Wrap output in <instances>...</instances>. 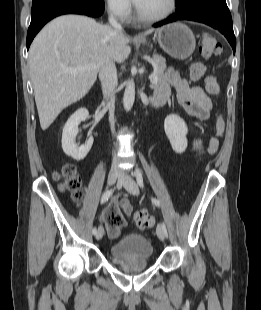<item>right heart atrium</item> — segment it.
<instances>
[{"instance_id":"d8ad5b80","label":"right heart atrium","mask_w":261,"mask_h":310,"mask_svg":"<svg viewBox=\"0 0 261 310\" xmlns=\"http://www.w3.org/2000/svg\"><path fill=\"white\" fill-rule=\"evenodd\" d=\"M108 13L120 21H127L132 13L130 0H104Z\"/></svg>"}]
</instances>
